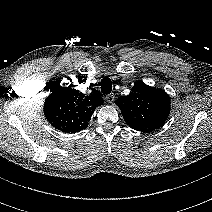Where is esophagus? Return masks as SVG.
<instances>
[{
    "mask_svg": "<svg viewBox=\"0 0 212 212\" xmlns=\"http://www.w3.org/2000/svg\"><path fill=\"white\" fill-rule=\"evenodd\" d=\"M105 99L108 103L112 104L115 100V96L113 94H110V95H107Z\"/></svg>",
    "mask_w": 212,
    "mask_h": 212,
    "instance_id": "34e87169",
    "label": "esophagus"
}]
</instances>
